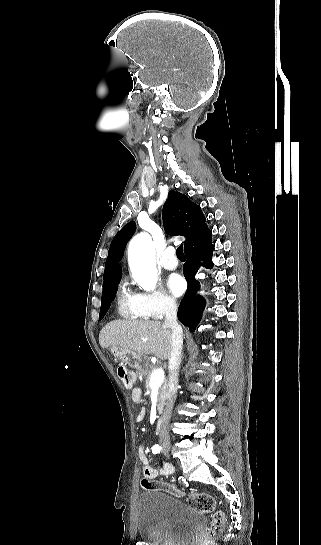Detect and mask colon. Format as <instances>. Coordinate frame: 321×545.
<instances>
[{
	"mask_svg": "<svg viewBox=\"0 0 321 545\" xmlns=\"http://www.w3.org/2000/svg\"><path fill=\"white\" fill-rule=\"evenodd\" d=\"M117 373L121 381L126 387H132L133 385V375L131 371L121 365L117 369ZM142 485L145 489H159L166 491L167 493L173 495H179V490L168 483L144 479ZM189 505L203 513H213L212 523L209 528L208 538L203 542V545H212L213 540L218 538L224 529V513L220 510L215 511V500L214 498L204 492L195 493L189 497Z\"/></svg>",
	"mask_w": 321,
	"mask_h": 545,
	"instance_id": "5ec220e1",
	"label": "colon"
}]
</instances>
